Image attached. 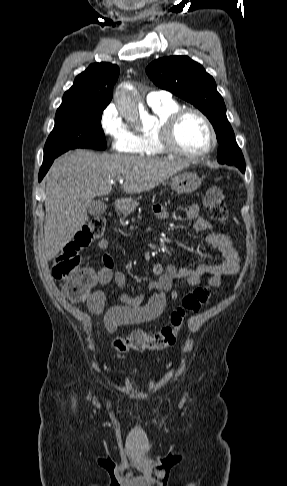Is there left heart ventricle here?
Here are the masks:
<instances>
[{
    "label": "left heart ventricle",
    "mask_w": 287,
    "mask_h": 486,
    "mask_svg": "<svg viewBox=\"0 0 287 486\" xmlns=\"http://www.w3.org/2000/svg\"><path fill=\"white\" fill-rule=\"evenodd\" d=\"M175 142L184 151L198 152L209 145L210 136L205 124L197 115L187 114L176 127Z\"/></svg>",
    "instance_id": "obj_1"
}]
</instances>
